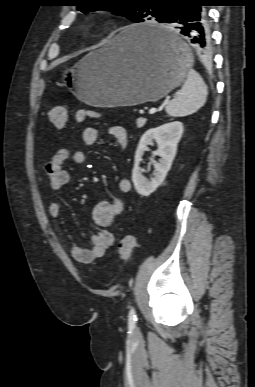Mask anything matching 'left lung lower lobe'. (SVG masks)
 <instances>
[{"label":"left lung lower lobe","mask_w":255,"mask_h":387,"mask_svg":"<svg viewBox=\"0 0 255 387\" xmlns=\"http://www.w3.org/2000/svg\"><path fill=\"white\" fill-rule=\"evenodd\" d=\"M209 0H181L167 6L162 23L180 24V33L188 36L200 56L207 58L211 53V38L207 25V13L203 6H210ZM147 41L169 53H176L178 45L172 36L163 30L144 32Z\"/></svg>","instance_id":"obj_1"}]
</instances>
